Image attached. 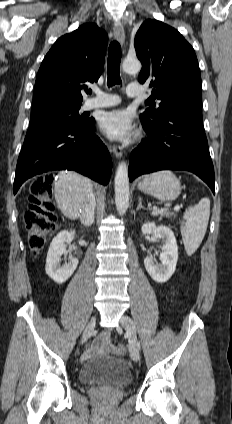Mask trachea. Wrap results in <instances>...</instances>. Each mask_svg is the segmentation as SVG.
Returning <instances> with one entry per match:
<instances>
[{"mask_svg":"<svg viewBox=\"0 0 232 424\" xmlns=\"http://www.w3.org/2000/svg\"><path fill=\"white\" fill-rule=\"evenodd\" d=\"M120 62H121V46L117 41H112L108 50V86L120 84Z\"/></svg>","mask_w":232,"mask_h":424,"instance_id":"trachea-1","label":"trachea"}]
</instances>
